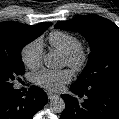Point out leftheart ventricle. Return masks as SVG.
Segmentation results:
<instances>
[{
    "instance_id": "obj_1",
    "label": "left heart ventricle",
    "mask_w": 119,
    "mask_h": 119,
    "mask_svg": "<svg viewBox=\"0 0 119 119\" xmlns=\"http://www.w3.org/2000/svg\"><path fill=\"white\" fill-rule=\"evenodd\" d=\"M63 64L66 65V60H65V58H64V60H63Z\"/></svg>"
}]
</instances>
